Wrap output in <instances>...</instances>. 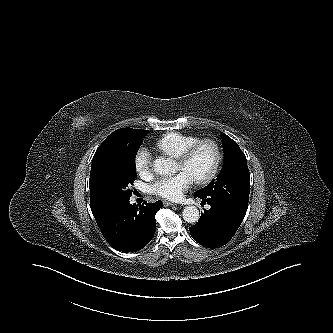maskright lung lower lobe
Here are the masks:
<instances>
[{
	"label": "right lung lower lobe",
	"instance_id": "98d812e1",
	"mask_svg": "<svg viewBox=\"0 0 333 333\" xmlns=\"http://www.w3.org/2000/svg\"><path fill=\"white\" fill-rule=\"evenodd\" d=\"M129 199L110 204L95 217L110 246L124 253L138 251L149 243L155 233L156 212L163 206L161 201L132 205Z\"/></svg>",
	"mask_w": 333,
	"mask_h": 333
}]
</instances>
